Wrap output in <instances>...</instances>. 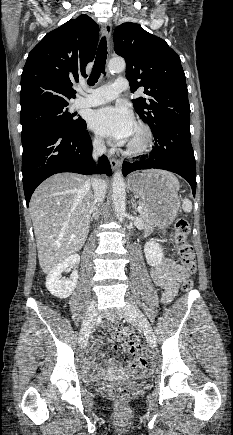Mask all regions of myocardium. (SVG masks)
I'll return each instance as SVG.
<instances>
[{"mask_svg": "<svg viewBox=\"0 0 233 435\" xmlns=\"http://www.w3.org/2000/svg\"><path fill=\"white\" fill-rule=\"evenodd\" d=\"M134 127L142 134V139L138 143L128 142L125 147V153L129 156H139L144 154L152 145L153 133L148 125L143 122H136Z\"/></svg>", "mask_w": 233, "mask_h": 435, "instance_id": "1", "label": "myocardium"}]
</instances>
